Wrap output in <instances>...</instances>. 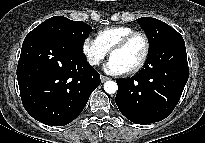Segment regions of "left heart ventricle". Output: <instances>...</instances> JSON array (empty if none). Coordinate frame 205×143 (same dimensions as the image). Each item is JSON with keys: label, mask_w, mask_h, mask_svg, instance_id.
Listing matches in <instances>:
<instances>
[{"label": "left heart ventricle", "mask_w": 205, "mask_h": 143, "mask_svg": "<svg viewBox=\"0 0 205 143\" xmlns=\"http://www.w3.org/2000/svg\"><path fill=\"white\" fill-rule=\"evenodd\" d=\"M144 49V40L141 37H136L124 49L113 53L111 57L128 70L140 61Z\"/></svg>", "instance_id": "obj_1"}]
</instances>
